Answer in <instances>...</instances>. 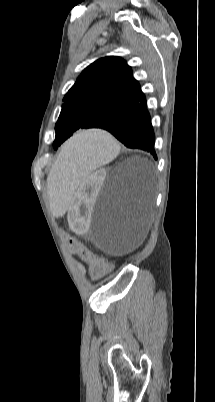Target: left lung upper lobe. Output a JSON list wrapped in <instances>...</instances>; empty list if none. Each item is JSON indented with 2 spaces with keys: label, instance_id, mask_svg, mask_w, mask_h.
Wrapping results in <instances>:
<instances>
[{
  "label": "left lung upper lobe",
  "instance_id": "1",
  "mask_svg": "<svg viewBox=\"0 0 215 402\" xmlns=\"http://www.w3.org/2000/svg\"><path fill=\"white\" fill-rule=\"evenodd\" d=\"M140 93L131 67L122 58L96 60L84 69L63 99L53 147L57 149L76 130L97 127Z\"/></svg>",
  "mask_w": 215,
  "mask_h": 402
}]
</instances>
